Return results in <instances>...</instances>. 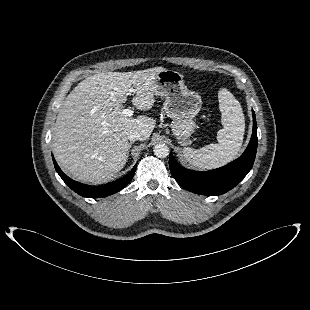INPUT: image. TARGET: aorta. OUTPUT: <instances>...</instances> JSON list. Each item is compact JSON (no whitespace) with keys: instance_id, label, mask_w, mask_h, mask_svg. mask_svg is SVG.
Listing matches in <instances>:
<instances>
[{"instance_id":"1","label":"aorta","mask_w":310,"mask_h":310,"mask_svg":"<svg viewBox=\"0 0 310 310\" xmlns=\"http://www.w3.org/2000/svg\"><path fill=\"white\" fill-rule=\"evenodd\" d=\"M154 154L158 158H166L169 155V147L166 144H156L154 146Z\"/></svg>"}]
</instances>
